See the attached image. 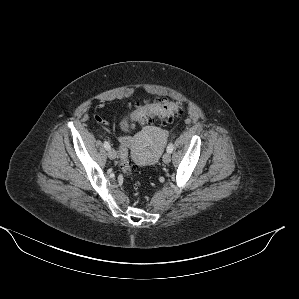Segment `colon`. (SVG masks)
<instances>
[{"label":"colon","instance_id":"1","mask_svg":"<svg viewBox=\"0 0 299 299\" xmlns=\"http://www.w3.org/2000/svg\"><path fill=\"white\" fill-rule=\"evenodd\" d=\"M183 110V105L178 102L156 99L141 105L134 114V121L141 126H145L154 120L167 123L175 116L181 114ZM120 168L125 176L131 175L132 169L128 157V149L120 153ZM135 186L138 187L139 184L136 183Z\"/></svg>","mask_w":299,"mask_h":299}]
</instances>
